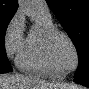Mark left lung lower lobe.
Returning a JSON list of instances; mask_svg holds the SVG:
<instances>
[{"instance_id": "1", "label": "left lung lower lobe", "mask_w": 89, "mask_h": 89, "mask_svg": "<svg viewBox=\"0 0 89 89\" xmlns=\"http://www.w3.org/2000/svg\"><path fill=\"white\" fill-rule=\"evenodd\" d=\"M74 82L89 87V77L81 75L77 78H74Z\"/></svg>"}]
</instances>
